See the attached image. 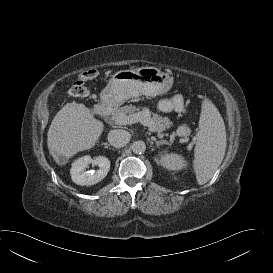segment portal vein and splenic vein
Returning <instances> with one entry per match:
<instances>
[{"label": "portal vein and splenic vein", "mask_w": 273, "mask_h": 273, "mask_svg": "<svg viewBox=\"0 0 273 273\" xmlns=\"http://www.w3.org/2000/svg\"><path fill=\"white\" fill-rule=\"evenodd\" d=\"M148 112H138L131 115H127L122 117L117 124L119 125H127V124H134L140 122L144 126H148L150 131H154V128L151 125V122L148 119Z\"/></svg>", "instance_id": "18ae733b"}]
</instances>
